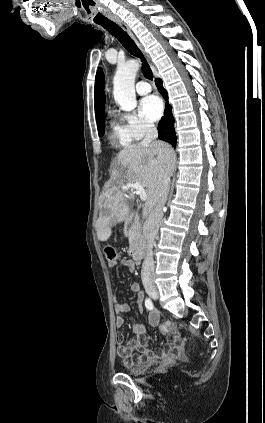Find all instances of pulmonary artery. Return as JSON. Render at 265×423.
I'll list each match as a JSON object with an SVG mask.
<instances>
[{"instance_id":"pulmonary-artery-1","label":"pulmonary artery","mask_w":265,"mask_h":423,"mask_svg":"<svg viewBox=\"0 0 265 423\" xmlns=\"http://www.w3.org/2000/svg\"><path fill=\"white\" fill-rule=\"evenodd\" d=\"M135 89L139 95H145L151 91V86L148 82L140 80L136 83Z\"/></svg>"}]
</instances>
